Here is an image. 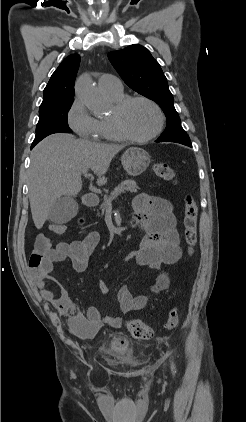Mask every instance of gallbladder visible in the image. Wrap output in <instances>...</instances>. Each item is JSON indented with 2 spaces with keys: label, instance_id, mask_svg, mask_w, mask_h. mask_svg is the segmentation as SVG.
I'll use <instances>...</instances> for the list:
<instances>
[{
  "label": "gallbladder",
  "instance_id": "gallbladder-1",
  "mask_svg": "<svg viewBox=\"0 0 246 422\" xmlns=\"http://www.w3.org/2000/svg\"><path fill=\"white\" fill-rule=\"evenodd\" d=\"M77 212V201L71 196H62L52 205L48 220L55 224H65L73 219Z\"/></svg>",
  "mask_w": 246,
  "mask_h": 422
}]
</instances>
